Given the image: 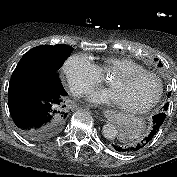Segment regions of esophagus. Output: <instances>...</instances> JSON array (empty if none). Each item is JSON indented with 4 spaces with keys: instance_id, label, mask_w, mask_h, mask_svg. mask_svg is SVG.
Segmentation results:
<instances>
[{
    "instance_id": "esophagus-1",
    "label": "esophagus",
    "mask_w": 177,
    "mask_h": 177,
    "mask_svg": "<svg viewBox=\"0 0 177 177\" xmlns=\"http://www.w3.org/2000/svg\"><path fill=\"white\" fill-rule=\"evenodd\" d=\"M110 114H111L110 111H104V112L102 113V116H103L104 118H107V117L110 116Z\"/></svg>"
}]
</instances>
